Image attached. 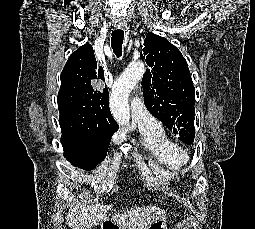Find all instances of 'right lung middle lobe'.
I'll return each mask as SVG.
<instances>
[{"label": "right lung middle lobe", "mask_w": 255, "mask_h": 229, "mask_svg": "<svg viewBox=\"0 0 255 229\" xmlns=\"http://www.w3.org/2000/svg\"><path fill=\"white\" fill-rule=\"evenodd\" d=\"M110 140L111 137L63 134L61 143L64 157L73 166L90 171L104 160Z\"/></svg>", "instance_id": "dd1d6c3e"}]
</instances>
